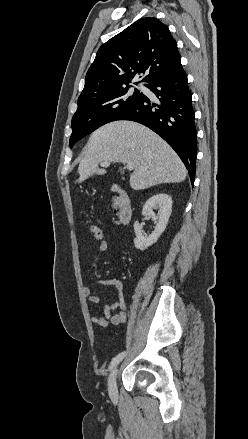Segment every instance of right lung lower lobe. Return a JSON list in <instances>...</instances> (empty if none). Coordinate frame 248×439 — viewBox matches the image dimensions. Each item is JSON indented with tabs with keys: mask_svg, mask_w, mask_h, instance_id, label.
<instances>
[{
	"mask_svg": "<svg viewBox=\"0 0 248 439\" xmlns=\"http://www.w3.org/2000/svg\"><path fill=\"white\" fill-rule=\"evenodd\" d=\"M156 95L153 102L143 95L140 101L118 120L141 123L159 134L179 155L193 184L197 156V131L192 95L182 66L147 85Z\"/></svg>",
	"mask_w": 248,
	"mask_h": 439,
	"instance_id": "obj_1",
	"label": "right lung lower lobe"
}]
</instances>
